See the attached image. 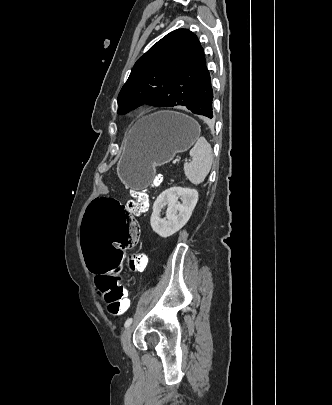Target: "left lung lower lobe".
I'll return each mask as SVG.
<instances>
[{"instance_id":"obj_1","label":"left lung lower lobe","mask_w":332,"mask_h":405,"mask_svg":"<svg viewBox=\"0 0 332 405\" xmlns=\"http://www.w3.org/2000/svg\"><path fill=\"white\" fill-rule=\"evenodd\" d=\"M213 90L211 86V78L208 69L204 71L196 88L193 100L187 108L193 113L202 115L206 118H213Z\"/></svg>"}]
</instances>
